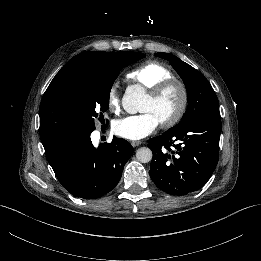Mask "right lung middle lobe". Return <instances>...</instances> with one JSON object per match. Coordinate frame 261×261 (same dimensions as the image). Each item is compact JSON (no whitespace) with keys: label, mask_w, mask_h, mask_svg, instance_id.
I'll use <instances>...</instances> for the list:
<instances>
[{"label":"right lung middle lobe","mask_w":261,"mask_h":261,"mask_svg":"<svg viewBox=\"0 0 261 261\" xmlns=\"http://www.w3.org/2000/svg\"><path fill=\"white\" fill-rule=\"evenodd\" d=\"M144 57L143 53L124 52L116 63L87 71L78 77L74 85V96L80 117L76 135L92 133L95 129V118L103 117L102 113L109 107L110 90L118 72ZM40 138L45 152L60 142V139L50 133H40Z\"/></svg>","instance_id":"obj_1"}]
</instances>
